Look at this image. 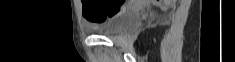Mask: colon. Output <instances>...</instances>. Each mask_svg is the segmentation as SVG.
<instances>
[{
    "mask_svg": "<svg viewBox=\"0 0 235 62\" xmlns=\"http://www.w3.org/2000/svg\"><path fill=\"white\" fill-rule=\"evenodd\" d=\"M125 2V0H87L83 2V15L93 24H99L123 11Z\"/></svg>",
    "mask_w": 235,
    "mask_h": 62,
    "instance_id": "colon-1",
    "label": "colon"
}]
</instances>
